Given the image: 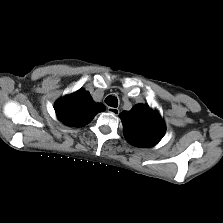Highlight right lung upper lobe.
<instances>
[{
    "instance_id": "1",
    "label": "right lung upper lobe",
    "mask_w": 223,
    "mask_h": 223,
    "mask_svg": "<svg viewBox=\"0 0 223 223\" xmlns=\"http://www.w3.org/2000/svg\"><path fill=\"white\" fill-rule=\"evenodd\" d=\"M104 109V105L96 104L84 89H79L58 100L55 105L57 117L64 124L72 127H82L88 124L97 113Z\"/></svg>"
}]
</instances>
